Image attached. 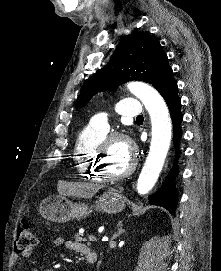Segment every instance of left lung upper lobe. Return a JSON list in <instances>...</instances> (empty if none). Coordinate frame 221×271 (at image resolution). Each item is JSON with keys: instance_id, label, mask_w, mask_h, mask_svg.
Masks as SVG:
<instances>
[{"instance_id": "1", "label": "left lung upper lobe", "mask_w": 221, "mask_h": 271, "mask_svg": "<svg viewBox=\"0 0 221 271\" xmlns=\"http://www.w3.org/2000/svg\"><path fill=\"white\" fill-rule=\"evenodd\" d=\"M130 80L148 82L160 94L175 81L166 53L150 34L136 33L123 38L108 64L84 82L76 106L83 107L97 92L113 91Z\"/></svg>"}]
</instances>
